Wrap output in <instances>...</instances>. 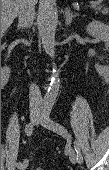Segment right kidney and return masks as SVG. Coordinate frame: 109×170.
Segmentation results:
<instances>
[{
  "label": "right kidney",
  "instance_id": "ca27d5eb",
  "mask_svg": "<svg viewBox=\"0 0 109 170\" xmlns=\"http://www.w3.org/2000/svg\"><path fill=\"white\" fill-rule=\"evenodd\" d=\"M9 74H10V69L8 67H5L2 71V82H3V84L8 81Z\"/></svg>",
  "mask_w": 109,
  "mask_h": 170
}]
</instances>
